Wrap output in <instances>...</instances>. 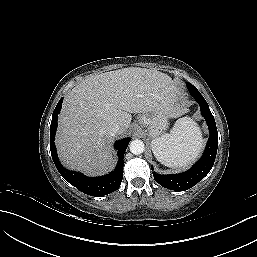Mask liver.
I'll use <instances>...</instances> for the list:
<instances>
[{
	"mask_svg": "<svg viewBox=\"0 0 257 257\" xmlns=\"http://www.w3.org/2000/svg\"><path fill=\"white\" fill-rule=\"evenodd\" d=\"M160 107L168 117L184 111L172 79L159 71L129 67L90 76L65 97L58 121L56 146L62 162L88 175H100L114 164L110 133L127 132L132 116Z\"/></svg>",
	"mask_w": 257,
	"mask_h": 257,
	"instance_id": "liver-1",
	"label": "liver"
}]
</instances>
